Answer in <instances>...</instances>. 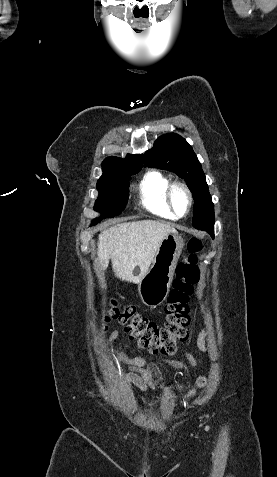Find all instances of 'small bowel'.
<instances>
[{"instance_id":"obj_1","label":"small bowel","mask_w":277,"mask_h":477,"mask_svg":"<svg viewBox=\"0 0 277 477\" xmlns=\"http://www.w3.org/2000/svg\"><path fill=\"white\" fill-rule=\"evenodd\" d=\"M119 335L117 330H114L108 342H113ZM208 330L200 331L197 336V347L202 352H208L209 348L206 343ZM189 364L193 367L199 365L198 361L188 352L184 353ZM119 360L127 366L126 380L134 384L140 391L147 392L154 390L157 387L163 386L164 382L158 367L154 364L148 363L142 357H128L123 352H118ZM162 362L174 367L176 369H183L187 371L185 363L179 360L162 359Z\"/></svg>"}]
</instances>
